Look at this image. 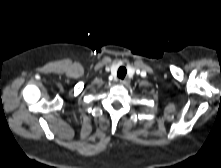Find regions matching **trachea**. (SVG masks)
Returning a JSON list of instances; mask_svg holds the SVG:
<instances>
[{"mask_svg":"<svg viewBox=\"0 0 221 168\" xmlns=\"http://www.w3.org/2000/svg\"><path fill=\"white\" fill-rule=\"evenodd\" d=\"M126 73H127L126 68L122 66L118 69L117 76L120 79H124V77L126 76Z\"/></svg>","mask_w":221,"mask_h":168,"instance_id":"obj_1","label":"trachea"}]
</instances>
